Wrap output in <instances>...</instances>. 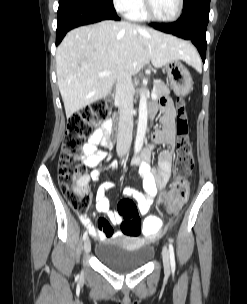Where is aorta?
<instances>
[{"instance_id":"aorta-1","label":"aorta","mask_w":247,"mask_h":304,"mask_svg":"<svg viewBox=\"0 0 247 304\" xmlns=\"http://www.w3.org/2000/svg\"><path fill=\"white\" fill-rule=\"evenodd\" d=\"M147 130V96L145 90H142L139 103V121L137 127V134L135 139V150L139 151L145 139Z\"/></svg>"}]
</instances>
